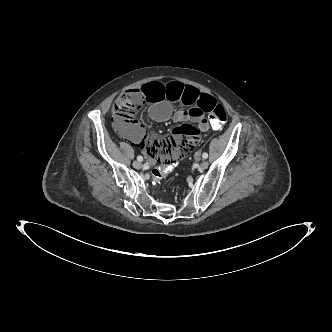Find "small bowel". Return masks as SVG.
I'll use <instances>...</instances> for the list:
<instances>
[{"label": "small bowel", "mask_w": 332, "mask_h": 332, "mask_svg": "<svg viewBox=\"0 0 332 332\" xmlns=\"http://www.w3.org/2000/svg\"><path fill=\"white\" fill-rule=\"evenodd\" d=\"M140 95L150 104L148 112L153 120L163 122L172 119L181 125L172 131L171 136L162 139L148 135L138 123L130 130L118 129L119 133L141 148L151 164L168 163L173 157L179 161L185 158L189 150L200 143V132L209 129L205 113L216 103L215 98L180 81L163 84L156 79L145 80L140 86ZM175 102L186 108L174 111L172 104Z\"/></svg>", "instance_id": "obj_1"}]
</instances>
